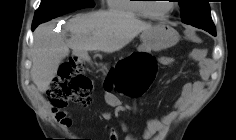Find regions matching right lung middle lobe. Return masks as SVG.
Returning <instances> with one entry per match:
<instances>
[{
	"label": "right lung middle lobe",
	"instance_id": "obj_1",
	"mask_svg": "<svg viewBox=\"0 0 236 140\" xmlns=\"http://www.w3.org/2000/svg\"><path fill=\"white\" fill-rule=\"evenodd\" d=\"M94 5L93 0H41L32 25H39L63 14L94 7Z\"/></svg>",
	"mask_w": 236,
	"mask_h": 140
}]
</instances>
